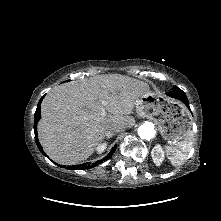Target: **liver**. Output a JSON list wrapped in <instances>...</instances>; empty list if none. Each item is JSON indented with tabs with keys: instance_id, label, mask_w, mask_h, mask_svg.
Masks as SVG:
<instances>
[{
	"instance_id": "obj_1",
	"label": "liver",
	"mask_w": 221,
	"mask_h": 221,
	"mask_svg": "<svg viewBox=\"0 0 221 221\" xmlns=\"http://www.w3.org/2000/svg\"><path fill=\"white\" fill-rule=\"evenodd\" d=\"M148 90L146 83L120 74L56 86L41 105L40 143L57 163L74 165L86 160L104 140L107 125H134L129 115Z\"/></svg>"
}]
</instances>
